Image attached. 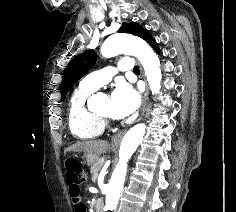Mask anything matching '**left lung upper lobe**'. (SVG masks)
Wrapping results in <instances>:
<instances>
[{"label":"left lung upper lobe","mask_w":236,"mask_h":212,"mask_svg":"<svg viewBox=\"0 0 236 212\" xmlns=\"http://www.w3.org/2000/svg\"><path fill=\"white\" fill-rule=\"evenodd\" d=\"M118 32L130 33L139 36L144 40L149 34L148 30H144L137 23H123ZM95 63L96 53L93 50H88L72 59V61L65 68L62 77L60 87L62 100H64L67 92L71 89V87L81 77H83Z\"/></svg>","instance_id":"obj_1"}]
</instances>
